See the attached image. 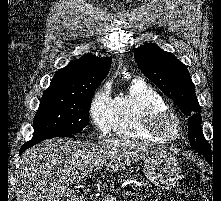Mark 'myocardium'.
Here are the masks:
<instances>
[{
	"instance_id": "f54148a6",
	"label": "myocardium",
	"mask_w": 221,
	"mask_h": 201,
	"mask_svg": "<svg viewBox=\"0 0 221 201\" xmlns=\"http://www.w3.org/2000/svg\"><path fill=\"white\" fill-rule=\"evenodd\" d=\"M142 126L145 132L165 142L178 139L183 132L181 119L169 108L149 111L143 119Z\"/></svg>"
}]
</instances>
